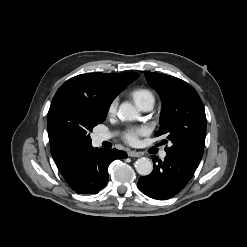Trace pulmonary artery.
I'll use <instances>...</instances> for the list:
<instances>
[{
	"instance_id": "obj_1",
	"label": "pulmonary artery",
	"mask_w": 247,
	"mask_h": 247,
	"mask_svg": "<svg viewBox=\"0 0 247 247\" xmlns=\"http://www.w3.org/2000/svg\"><path fill=\"white\" fill-rule=\"evenodd\" d=\"M140 109L142 111L147 112V111H150L152 109V105L148 103V104H145V105L141 106ZM109 137L110 136L107 135V134H100V135H98V140L99 141H106V140L109 139ZM160 156H161V158H165L166 157V152L165 151H162L161 154H160Z\"/></svg>"
}]
</instances>
